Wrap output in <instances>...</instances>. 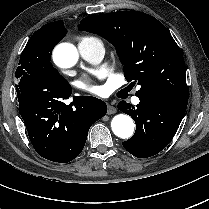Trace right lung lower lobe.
Listing matches in <instances>:
<instances>
[{
    "label": "right lung lower lobe",
    "mask_w": 209,
    "mask_h": 209,
    "mask_svg": "<svg viewBox=\"0 0 209 209\" xmlns=\"http://www.w3.org/2000/svg\"><path fill=\"white\" fill-rule=\"evenodd\" d=\"M19 113L37 153L50 161L67 163L84 148L91 125L107 112L95 97L75 96L70 105L62 102L72 94L71 86H59L34 78L16 85Z\"/></svg>",
    "instance_id": "98d812e1"
}]
</instances>
